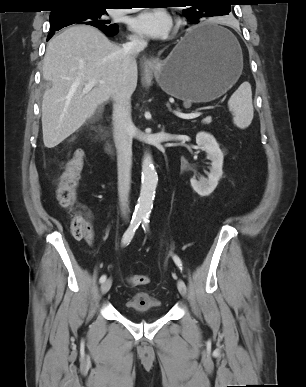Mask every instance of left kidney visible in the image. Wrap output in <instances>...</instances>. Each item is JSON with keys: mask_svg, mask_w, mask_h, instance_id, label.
<instances>
[{"mask_svg": "<svg viewBox=\"0 0 306 387\" xmlns=\"http://www.w3.org/2000/svg\"><path fill=\"white\" fill-rule=\"evenodd\" d=\"M196 143L203 151L206 152L207 159L211 161V167L208 178H201L200 180H197L193 177L190 182L192 188L200 196H208L214 191L223 174L222 166L224 156L217 141L209 133L199 132L196 135Z\"/></svg>", "mask_w": 306, "mask_h": 387, "instance_id": "5707ae66", "label": "left kidney"}]
</instances>
